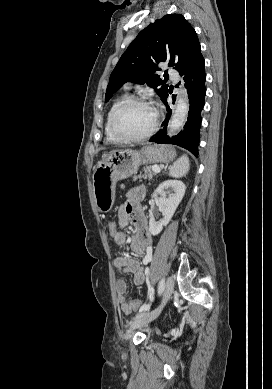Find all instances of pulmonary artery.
Here are the masks:
<instances>
[{
  "mask_svg": "<svg viewBox=\"0 0 272 389\" xmlns=\"http://www.w3.org/2000/svg\"><path fill=\"white\" fill-rule=\"evenodd\" d=\"M168 74L171 77V79H173L174 81H176L179 77L178 72L176 70H174L173 68H169Z\"/></svg>",
  "mask_w": 272,
  "mask_h": 389,
  "instance_id": "1",
  "label": "pulmonary artery"
}]
</instances>
